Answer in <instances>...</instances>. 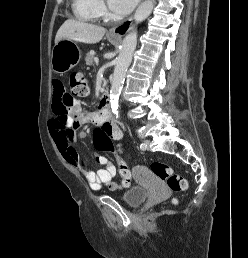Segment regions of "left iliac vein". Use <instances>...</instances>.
<instances>
[{
	"label": "left iliac vein",
	"mask_w": 248,
	"mask_h": 258,
	"mask_svg": "<svg viewBox=\"0 0 248 258\" xmlns=\"http://www.w3.org/2000/svg\"><path fill=\"white\" fill-rule=\"evenodd\" d=\"M144 144H145L144 150H148V149H149V146H150V141H149V140H145V141H144Z\"/></svg>",
	"instance_id": "left-iliac-vein-1"
}]
</instances>
